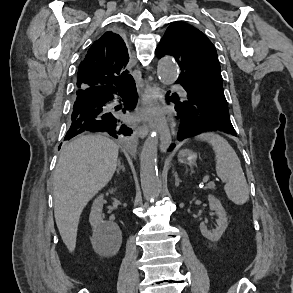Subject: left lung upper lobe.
I'll return each mask as SVG.
<instances>
[{"mask_svg": "<svg viewBox=\"0 0 293 293\" xmlns=\"http://www.w3.org/2000/svg\"><path fill=\"white\" fill-rule=\"evenodd\" d=\"M173 56L181 68L176 83L207 107L228 112L223 92L217 52L211 41L198 29L184 22H174L166 30L156 55Z\"/></svg>", "mask_w": 293, "mask_h": 293, "instance_id": "1", "label": "left lung upper lobe"}]
</instances>
